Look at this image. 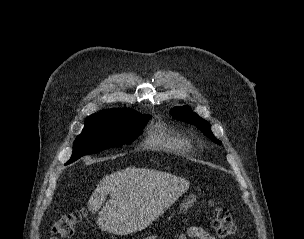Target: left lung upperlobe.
I'll list each match as a JSON object with an SVG mask.
<instances>
[{
	"instance_id": "obj_1",
	"label": "left lung upper lobe",
	"mask_w": 304,
	"mask_h": 239,
	"mask_svg": "<svg viewBox=\"0 0 304 239\" xmlns=\"http://www.w3.org/2000/svg\"><path fill=\"white\" fill-rule=\"evenodd\" d=\"M171 115L174 119L187 122L189 124L195 125L204 135L209 137L213 142L217 144H221L211 132L209 124L206 120H203L200 116L194 113L189 106H182V107H174L171 110Z\"/></svg>"
}]
</instances>
